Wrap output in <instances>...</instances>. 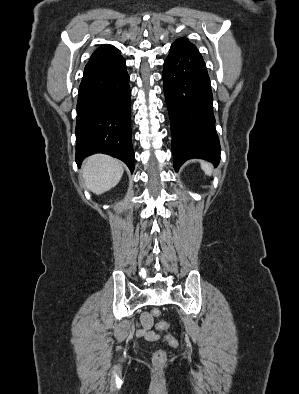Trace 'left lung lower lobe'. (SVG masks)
I'll return each mask as SVG.
<instances>
[{"label": "left lung lower lobe", "instance_id": "left-lung-lower-lobe-1", "mask_svg": "<svg viewBox=\"0 0 299 394\" xmlns=\"http://www.w3.org/2000/svg\"><path fill=\"white\" fill-rule=\"evenodd\" d=\"M163 82L175 170L190 158L205 159L217 165L221 148L215 130L213 96L199 51L194 47L172 45L164 62Z\"/></svg>", "mask_w": 299, "mask_h": 394}]
</instances>
